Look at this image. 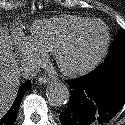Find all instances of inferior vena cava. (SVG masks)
<instances>
[{"instance_id":"602c4592","label":"inferior vena cava","mask_w":125,"mask_h":125,"mask_svg":"<svg viewBox=\"0 0 125 125\" xmlns=\"http://www.w3.org/2000/svg\"><path fill=\"white\" fill-rule=\"evenodd\" d=\"M39 68L36 64H28L26 66H24L23 68H21L22 71V75L24 78H32L34 77L37 72H38Z\"/></svg>"}]
</instances>
